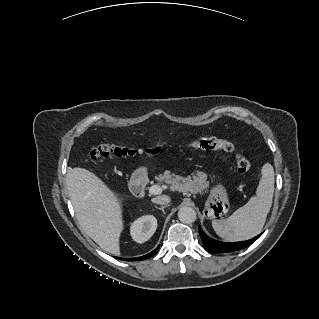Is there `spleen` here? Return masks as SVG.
<instances>
[{
  "mask_svg": "<svg viewBox=\"0 0 319 319\" xmlns=\"http://www.w3.org/2000/svg\"><path fill=\"white\" fill-rule=\"evenodd\" d=\"M257 187L256 196L238 208L230 217L213 220L212 226L218 236L226 241H244L256 236L265 224L274 194V170L265 164Z\"/></svg>",
  "mask_w": 319,
  "mask_h": 319,
  "instance_id": "1",
  "label": "spleen"
}]
</instances>
